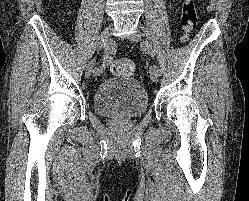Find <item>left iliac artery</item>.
Segmentation results:
<instances>
[{"label":"left iliac artery","mask_w":249,"mask_h":201,"mask_svg":"<svg viewBox=\"0 0 249 201\" xmlns=\"http://www.w3.org/2000/svg\"><path fill=\"white\" fill-rule=\"evenodd\" d=\"M142 47L144 50H146L149 53V55H151V56L154 55L153 50H152L150 44L148 43V41H144L142 44ZM156 70H157L158 74L161 75V69L157 68Z\"/></svg>","instance_id":"1"}]
</instances>
